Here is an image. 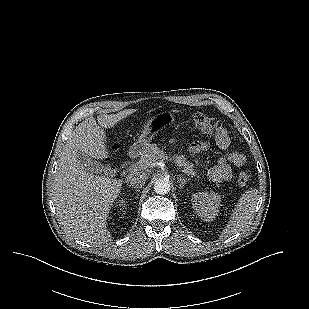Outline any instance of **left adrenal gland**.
Wrapping results in <instances>:
<instances>
[{"mask_svg":"<svg viewBox=\"0 0 309 309\" xmlns=\"http://www.w3.org/2000/svg\"><path fill=\"white\" fill-rule=\"evenodd\" d=\"M177 179L180 183V188L182 189L183 186L188 182L187 179H185L184 177H181L180 175L177 176Z\"/></svg>","mask_w":309,"mask_h":309,"instance_id":"left-adrenal-gland-1","label":"left adrenal gland"}]
</instances>
